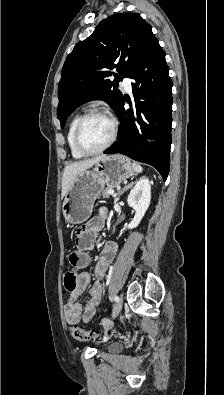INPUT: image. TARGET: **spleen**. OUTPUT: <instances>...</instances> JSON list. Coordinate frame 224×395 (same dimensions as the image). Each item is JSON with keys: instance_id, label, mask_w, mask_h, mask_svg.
<instances>
[{"instance_id": "3e777b00", "label": "spleen", "mask_w": 224, "mask_h": 395, "mask_svg": "<svg viewBox=\"0 0 224 395\" xmlns=\"http://www.w3.org/2000/svg\"><path fill=\"white\" fill-rule=\"evenodd\" d=\"M132 166H133V169L136 173H141L143 171V168L141 167V165L136 162H133Z\"/></svg>"}]
</instances>
